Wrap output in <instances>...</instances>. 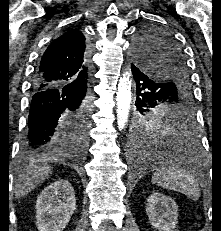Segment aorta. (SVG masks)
I'll return each mask as SVG.
<instances>
[{"label":"aorta","mask_w":221,"mask_h":231,"mask_svg":"<svg viewBox=\"0 0 221 231\" xmlns=\"http://www.w3.org/2000/svg\"><path fill=\"white\" fill-rule=\"evenodd\" d=\"M131 78L129 74H124L118 83L116 102H117V124L118 128L122 130L128 122L130 104L132 101L131 94Z\"/></svg>","instance_id":"aorta-1"}]
</instances>
